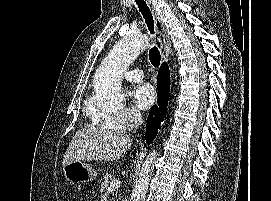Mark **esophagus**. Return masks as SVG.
<instances>
[{
	"label": "esophagus",
	"instance_id": "obj_1",
	"mask_svg": "<svg viewBox=\"0 0 271 201\" xmlns=\"http://www.w3.org/2000/svg\"><path fill=\"white\" fill-rule=\"evenodd\" d=\"M148 5L151 7L154 19H155V25L157 28V32L159 34V42H160V51H161V59L162 61H167L169 52H170V37L167 33V30L164 26V23L162 22L160 16L158 13L154 10L151 0H146Z\"/></svg>",
	"mask_w": 271,
	"mask_h": 201
}]
</instances>
